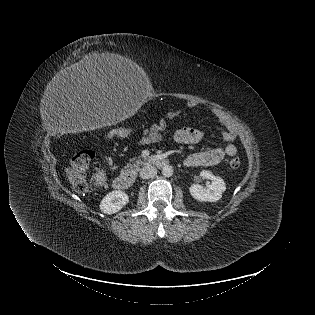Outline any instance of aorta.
Segmentation results:
<instances>
[{"label": "aorta", "instance_id": "1", "mask_svg": "<svg viewBox=\"0 0 315 315\" xmlns=\"http://www.w3.org/2000/svg\"><path fill=\"white\" fill-rule=\"evenodd\" d=\"M162 174L165 177H171L173 175V167L170 165H165L162 169Z\"/></svg>", "mask_w": 315, "mask_h": 315}]
</instances>
